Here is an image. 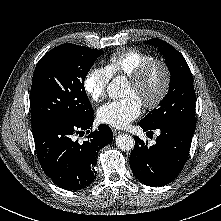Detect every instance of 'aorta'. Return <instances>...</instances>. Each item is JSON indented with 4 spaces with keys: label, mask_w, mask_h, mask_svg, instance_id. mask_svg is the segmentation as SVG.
<instances>
[{
    "label": "aorta",
    "mask_w": 221,
    "mask_h": 221,
    "mask_svg": "<svg viewBox=\"0 0 221 221\" xmlns=\"http://www.w3.org/2000/svg\"><path fill=\"white\" fill-rule=\"evenodd\" d=\"M122 79L115 78L107 87L109 97L118 98L121 96ZM117 147L122 151H130L134 148L135 142L132 136L128 134L119 135L116 139Z\"/></svg>",
    "instance_id": "aorta-1"
}]
</instances>
